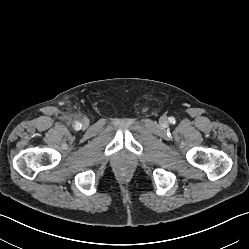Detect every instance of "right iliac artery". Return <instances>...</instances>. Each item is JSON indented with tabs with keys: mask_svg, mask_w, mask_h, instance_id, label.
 Masks as SVG:
<instances>
[{
	"mask_svg": "<svg viewBox=\"0 0 249 249\" xmlns=\"http://www.w3.org/2000/svg\"><path fill=\"white\" fill-rule=\"evenodd\" d=\"M80 127H81V124H80L79 122H76L75 128H76V129H79Z\"/></svg>",
	"mask_w": 249,
	"mask_h": 249,
	"instance_id": "82829eb1",
	"label": "right iliac artery"
}]
</instances>
